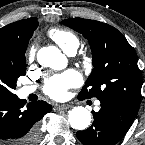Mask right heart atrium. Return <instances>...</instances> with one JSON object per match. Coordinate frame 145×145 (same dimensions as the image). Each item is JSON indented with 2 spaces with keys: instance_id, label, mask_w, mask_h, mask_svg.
Returning <instances> with one entry per match:
<instances>
[{
  "instance_id": "obj_1",
  "label": "right heart atrium",
  "mask_w": 145,
  "mask_h": 145,
  "mask_svg": "<svg viewBox=\"0 0 145 145\" xmlns=\"http://www.w3.org/2000/svg\"><path fill=\"white\" fill-rule=\"evenodd\" d=\"M35 52H36V49H35L34 46H32V47L29 49V53H28V54H29V57H30V58L34 57Z\"/></svg>"
}]
</instances>
